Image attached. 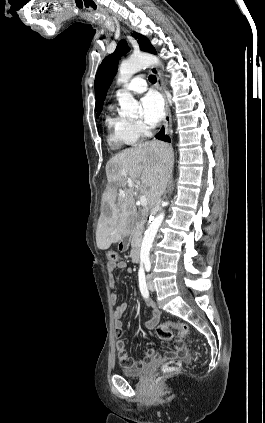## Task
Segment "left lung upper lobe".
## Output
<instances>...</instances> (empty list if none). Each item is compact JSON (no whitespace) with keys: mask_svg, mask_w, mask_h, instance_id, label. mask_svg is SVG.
<instances>
[{"mask_svg":"<svg viewBox=\"0 0 265 423\" xmlns=\"http://www.w3.org/2000/svg\"><path fill=\"white\" fill-rule=\"evenodd\" d=\"M133 37L138 39L140 49L150 53H156L154 47L150 44L149 40L136 32H133ZM129 47L125 40H121L115 52L108 55L101 63L96 77H95V96H96V108H97V117L102 110L103 102L106 97L107 90L111 84V81L116 74L117 65L119 58L129 51Z\"/></svg>","mask_w":265,"mask_h":423,"instance_id":"5c2ea615","label":"left lung upper lobe"}]
</instances>
